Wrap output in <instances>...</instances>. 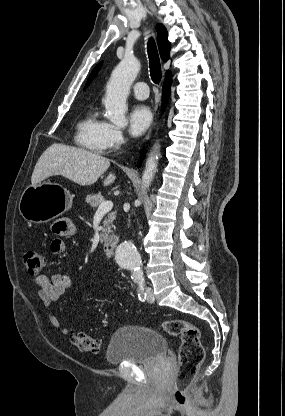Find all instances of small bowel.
<instances>
[{"mask_svg": "<svg viewBox=\"0 0 285 416\" xmlns=\"http://www.w3.org/2000/svg\"><path fill=\"white\" fill-rule=\"evenodd\" d=\"M52 232L55 238L50 243V251L54 255H60L66 250L62 237L75 234L76 227L69 219H60L53 224ZM34 283L37 286V295L47 309L51 325L60 333L68 334L69 330L63 327L58 318L50 312V307L54 301L61 299L66 294L71 286V278L63 273L53 274L50 278L45 275H39L35 277Z\"/></svg>", "mask_w": 285, "mask_h": 416, "instance_id": "c3829d8e", "label": "small bowel"}]
</instances>
